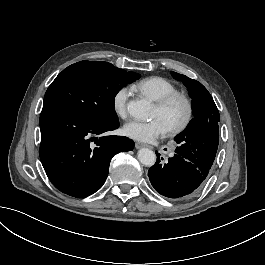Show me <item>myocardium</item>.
Listing matches in <instances>:
<instances>
[{
  "label": "myocardium",
  "instance_id": "f54148a6",
  "mask_svg": "<svg viewBox=\"0 0 265 265\" xmlns=\"http://www.w3.org/2000/svg\"><path fill=\"white\" fill-rule=\"evenodd\" d=\"M175 102H180L185 108V115L180 124L174 127H167L166 130L170 135H178L184 132L191 124L194 116V105L192 100L185 94L176 92L170 94L156 103L157 111L162 114Z\"/></svg>",
  "mask_w": 265,
  "mask_h": 265
}]
</instances>
